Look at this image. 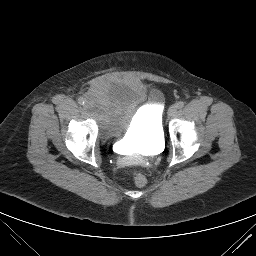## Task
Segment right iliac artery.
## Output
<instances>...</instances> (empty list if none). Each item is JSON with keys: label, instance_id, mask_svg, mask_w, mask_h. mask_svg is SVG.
Here are the masks:
<instances>
[{"label": "right iliac artery", "instance_id": "82829eb1", "mask_svg": "<svg viewBox=\"0 0 256 256\" xmlns=\"http://www.w3.org/2000/svg\"><path fill=\"white\" fill-rule=\"evenodd\" d=\"M78 103H79L80 105H83V104L85 103V99H84L83 97H80V98L78 99Z\"/></svg>", "mask_w": 256, "mask_h": 256}]
</instances>
